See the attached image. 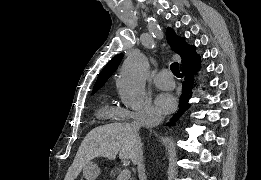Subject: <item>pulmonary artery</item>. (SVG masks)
I'll use <instances>...</instances> for the list:
<instances>
[{"label": "pulmonary artery", "instance_id": "obj_1", "mask_svg": "<svg viewBox=\"0 0 261 180\" xmlns=\"http://www.w3.org/2000/svg\"><path fill=\"white\" fill-rule=\"evenodd\" d=\"M153 82L156 86L165 89H170L174 86L172 74L167 69L161 70L159 73H157L153 78Z\"/></svg>", "mask_w": 261, "mask_h": 180}]
</instances>
